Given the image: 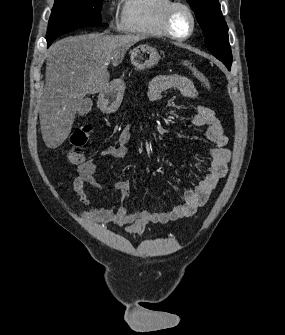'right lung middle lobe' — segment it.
Segmentation results:
<instances>
[{
  "label": "right lung middle lobe",
  "mask_w": 285,
  "mask_h": 335,
  "mask_svg": "<svg viewBox=\"0 0 285 335\" xmlns=\"http://www.w3.org/2000/svg\"><path fill=\"white\" fill-rule=\"evenodd\" d=\"M103 0H55L47 29V42L69 31L102 22Z\"/></svg>",
  "instance_id": "dd1d6c3e"
}]
</instances>
